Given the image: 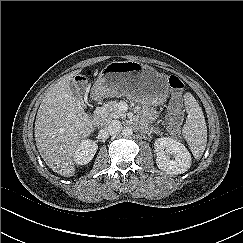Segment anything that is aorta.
Segmentation results:
<instances>
[{
    "instance_id": "obj_1",
    "label": "aorta",
    "mask_w": 243,
    "mask_h": 243,
    "mask_svg": "<svg viewBox=\"0 0 243 243\" xmlns=\"http://www.w3.org/2000/svg\"><path fill=\"white\" fill-rule=\"evenodd\" d=\"M122 134L124 137H130L133 134V130L131 127H124Z\"/></svg>"
}]
</instances>
